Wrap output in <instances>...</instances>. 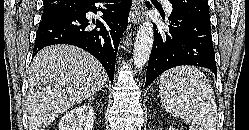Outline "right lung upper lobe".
Instances as JSON below:
<instances>
[{
    "label": "right lung upper lobe",
    "instance_id": "1",
    "mask_svg": "<svg viewBox=\"0 0 249 130\" xmlns=\"http://www.w3.org/2000/svg\"><path fill=\"white\" fill-rule=\"evenodd\" d=\"M85 2L86 0H45L44 12H71Z\"/></svg>",
    "mask_w": 249,
    "mask_h": 130
}]
</instances>
